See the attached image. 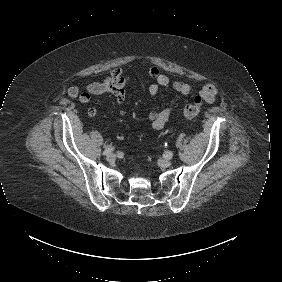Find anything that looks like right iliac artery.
Here are the masks:
<instances>
[{
  "label": "right iliac artery",
  "mask_w": 282,
  "mask_h": 282,
  "mask_svg": "<svg viewBox=\"0 0 282 282\" xmlns=\"http://www.w3.org/2000/svg\"><path fill=\"white\" fill-rule=\"evenodd\" d=\"M112 151H113V148H112V147H108V148H106V149L103 151V155H108V154H110Z\"/></svg>",
  "instance_id": "82829eb1"
}]
</instances>
